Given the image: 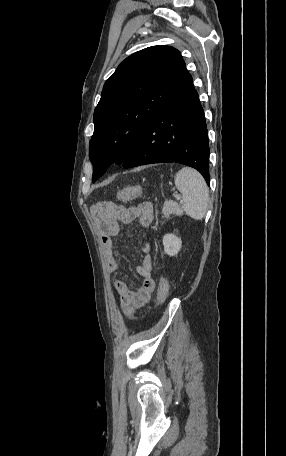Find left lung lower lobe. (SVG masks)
<instances>
[{"label": "left lung lower lobe", "mask_w": 286, "mask_h": 456, "mask_svg": "<svg viewBox=\"0 0 286 456\" xmlns=\"http://www.w3.org/2000/svg\"><path fill=\"white\" fill-rule=\"evenodd\" d=\"M208 159L204 111L188 73L140 134L123 166L181 163L197 169L209 185Z\"/></svg>", "instance_id": "0a47b994"}]
</instances>
